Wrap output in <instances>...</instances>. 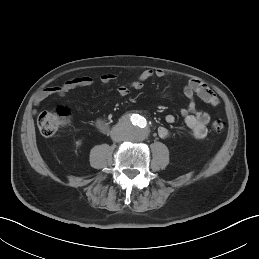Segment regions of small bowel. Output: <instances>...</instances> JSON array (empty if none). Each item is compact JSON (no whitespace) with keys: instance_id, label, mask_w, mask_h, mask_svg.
Instances as JSON below:
<instances>
[{"instance_id":"c3829d8e","label":"small bowel","mask_w":259,"mask_h":259,"mask_svg":"<svg viewBox=\"0 0 259 259\" xmlns=\"http://www.w3.org/2000/svg\"><path fill=\"white\" fill-rule=\"evenodd\" d=\"M168 75L165 70H144L139 73L130 83L121 84L117 87V92L120 96L124 97L130 93L131 89H140L143 84L153 77L163 78ZM116 78L113 73H105L98 77V80L102 85H107ZM95 83V78L92 76H79L70 79L63 84L50 86L44 88L37 93L34 99L35 105H39L44 100L51 96L63 97L67 95L70 91L81 88L88 87ZM183 92L188 99V105L180 110L181 115L184 117L186 126L189 129V134L195 139H203L207 134V125L209 123V115L196 106L195 96H198L204 102L217 106L219 104V99L217 95L211 90L206 84L197 79H189L184 87ZM168 124L175 122V117L172 114H168L165 117ZM160 138H168L172 135L171 131L162 126L158 128L157 131Z\"/></svg>"}]
</instances>
